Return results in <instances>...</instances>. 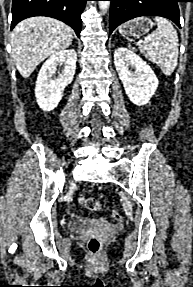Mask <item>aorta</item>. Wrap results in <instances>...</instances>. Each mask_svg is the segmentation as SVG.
Returning <instances> with one entry per match:
<instances>
[{"label": "aorta", "mask_w": 193, "mask_h": 287, "mask_svg": "<svg viewBox=\"0 0 193 287\" xmlns=\"http://www.w3.org/2000/svg\"><path fill=\"white\" fill-rule=\"evenodd\" d=\"M110 6V1H99V9L106 12Z\"/></svg>", "instance_id": "obj_1"}]
</instances>
